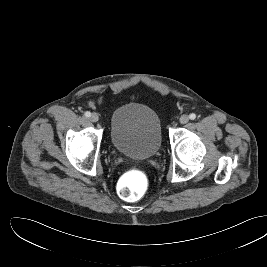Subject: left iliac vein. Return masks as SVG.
I'll return each mask as SVG.
<instances>
[{"instance_id":"left-iliac-vein-1","label":"left iliac vein","mask_w":267,"mask_h":267,"mask_svg":"<svg viewBox=\"0 0 267 267\" xmlns=\"http://www.w3.org/2000/svg\"><path fill=\"white\" fill-rule=\"evenodd\" d=\"M188 121H189V116H188V115H182V116L179 118V122H180L181 124H186Z\"/></svg>"}]
</instances>
